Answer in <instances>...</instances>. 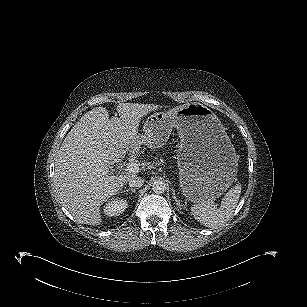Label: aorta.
<instances>
[{"label": "aorta", "mask_w": 307, "mask_h": 307, "mask_svg": "<svg viewBox=\"0 0 307 307\" xmlns=\"http://www.w3.org/2000/svg\"><path fill=\"white\" fill-rule=\"evenodd\" d=\"M167 189V185L164 181L162 180H155L152 183V190L156 194H163Z\"/></svg>", "instance_id": "aorta-1"}]
</instances>
